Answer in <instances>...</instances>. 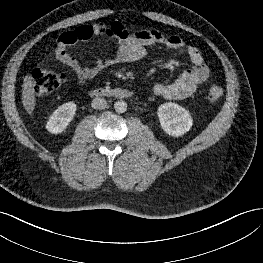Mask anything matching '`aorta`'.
I'll list each match as a JSON object with an SVG mask.
<instances>
[{"mask_svg": "<svg viewBox=\"0 0 263 263\" xmlns=\"http://www.w3.org/2000/svg\"><path fill=\"white\" fill-rule=\"evenodd\" d=\"M114 109L117 113H125L127 111V103L123 100L117 101L114 104Z\"/></svg>", "mask_w": 263, "mask_h": 263, "instance_id": "obj_1", "label": "aorta"}]
</instances>
